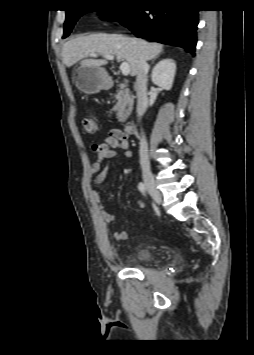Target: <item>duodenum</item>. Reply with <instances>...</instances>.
I'll return each instance as SVG.
<instances>
[{"instance_id": "1", "label": "duodenum", "mask_w": 254, "mask_h": 355, "mask_svg": "<svg viewBox=\"0 0 254 355\" xmlns=\"http://www.w3.org/2000/svg\"><path fill=\"white\" fill-rule=\"evenodd\" d=\"M124 131L126 134L131 135L135 131V125L133 122L129 121L124 125Z\"/></svg>"}]
</instances>
